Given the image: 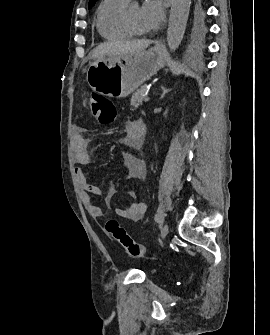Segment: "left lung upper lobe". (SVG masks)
Masks as SVG:
<instances>
[{
    "instance_id": "5c2ea615",
    "label": "left lung upper lobe",
    "mask_w": 270,
    "mask_h": 335,
    "mask_svg": "<svg viewBox=\"0 0 270 335\" xmlns=\"http://www.w3.org/2000/svg\"><path fill=\"white\" fill-rule=\"evenodd\" d=\"M95 3H96V0H89L88 8L89 9L92 8ZM203 11H204L203 4L199 2V0H195L192 3V13H193L195 23L198 27H201V19L203 17Z\"/></svg>"
}]
</instances>
